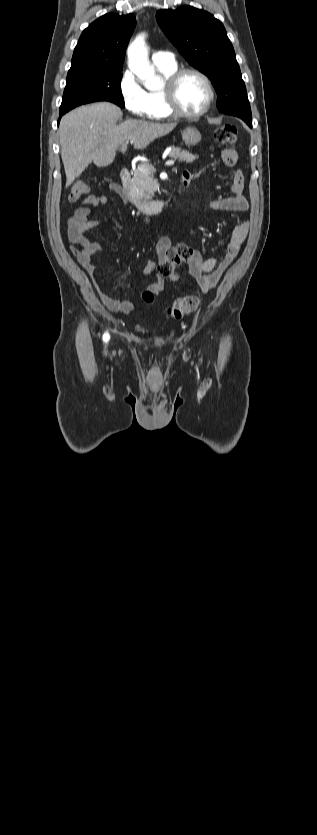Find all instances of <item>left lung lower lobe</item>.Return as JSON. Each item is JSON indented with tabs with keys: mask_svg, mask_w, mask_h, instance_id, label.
Returning a JSON list of instances; mask_svg holds the SVG:
<instances>
[{
	"mask_svg": "<svg viewBox=\"0 0 317 835\" xmlns=\"http://www.w3.org/2000/svg\"><path fill=\"white\" fill-rule=\"evenodd\" d=\"M241 119L244 120L248 124L249 127H252L251 118H241Z\"/></svg>",
	"mask_w": 317,
	"mask_h": 835,
	"instance_id": "obj_1",
	"label": "left lung lower lobe"
}]
</instances>
